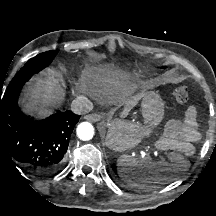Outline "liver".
<instances>
[{
	"label": "liver",
	"instance_id": "1",
	"mask_svg": "<svg viewBox=\"0 0 216 216\" xmlns=\"http://www.w3.org/2000/svg\"><path fill=\"white\" fill-rule=\"evenodd\" d=\"M44 75L45 79H37L22 100L25 109L39 117L48 116L51 113L49 107L59 105L64 98L63 89L59 85L58 72L49 69ZM95 81L105 87L121 90L126 96L125 104L128 109L133 108L142 97V94L135 93L133 87L120 80L113 72L101 70L95 75Z\"/></svg>",
	"mask_w": 216,
	"mask_h": 216
}]
</instances>
